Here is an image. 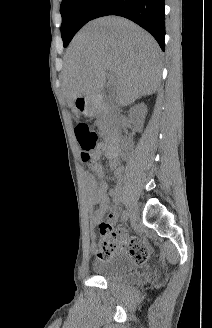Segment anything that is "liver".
<instances>
[{
	"label": "liver",
	"instance_id": "liver-1",
	"mask_svg": "<svg viewBox=\"0 0 212 328\" xmlns=\"http://www.w3.org/2000/svg\"><path fill=\"white\" fill-rule=\"evenodd\" d=\"M107 71L113 74L111 82L121 106L155 93L160 81L157 42L144 29L121 17L90 21L76 34L66 52V97L75 101L81 96L90 99L100 94Z\"/></svg>",
	"mask_w": 212,
	"mask_h": 328
}]
</instances>
